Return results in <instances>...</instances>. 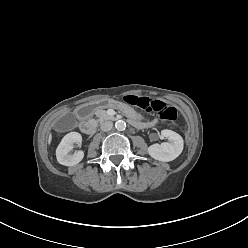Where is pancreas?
I'll list each match as a JSON object with an SVG mask.
<instances>
[{"instance_id":"obj_1","label":"pancreas","mask_w":248,"mask_h":248,"mask_svg":"<svg viewBox=\"0 0 248 248\" xmlns=\"http://www.w3.org/2000/svg\"><path fill=\"white\" fill-rule=\"evenodd\" d=\"M96 116H97V120L99 123H102L106 120H110L112 119L111 116H109L106 112V110H104L103 108H99L97 111H96Z\"/></svg>"}]
</instances>
